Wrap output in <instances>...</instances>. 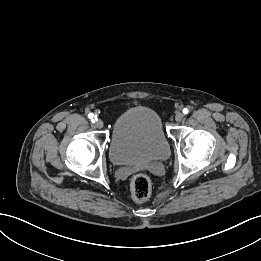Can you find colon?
I'll return each mask as SVG.
<instances>
[{
	"label": "colon",
	"mask_w": 261,
	"mask_h": 261,
	"mask_svg": "<svg viewBox=\"0 0 261 261\" xmlns=\"http://www.w3.org/2000/svg\"><path fill=\"white\" fill-rule=\"evenodd\" d=\"M131 197L137 202L146 200L151 194V180L143 173L136 174L131 179Z\"/></svg>",
	"instance_id": "colon-1"
}]
</instances>
